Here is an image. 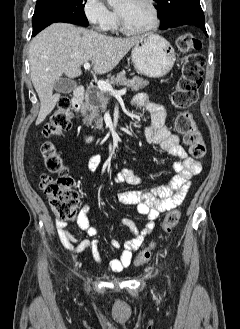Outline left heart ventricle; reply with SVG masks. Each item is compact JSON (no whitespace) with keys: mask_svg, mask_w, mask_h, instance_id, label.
Segmentation results:
<instances>
[{"mask_svg":"<svg viewBox=\"0 0 240 329\" xmlns=\"http://www.w3.org/2000/svg\"><path fill=\"white\" fill-rule=\"evenodd\" d=\"M117 10L132 29L145 28L153 21L152 10L146 0H121Z\"/></svg>","mask_w":240,"mask_h":329,"instance_id":"1","label":"left heart ventricle"}]
</instances>
